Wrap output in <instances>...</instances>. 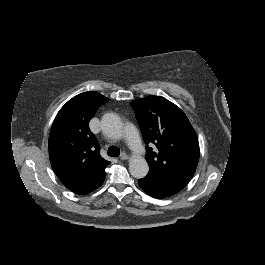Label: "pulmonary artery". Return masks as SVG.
I'll use <instances>...</instances> for the list:
<instances>
[{
    "mask_svg": "<svg viewBox=\"0 0 265 265\" xmlns=\"http://www.w3.org/2000/svg\"><path fill=\"white\" fill-rule=\"evenodd\" d=\"M126 134L128 137V144L130 145V148L134 152H141L143 150V142L141 139L136 135L137 134V127L135 125H128L126 127ZM121 135H114L112 136V139L119 141L121 140Z\"/></svg>",
    "mask_w": 265,
    "mask_h": 265,
    "instance_id": "1",
    "label": "pulmonary artery"
}]
</instances>
